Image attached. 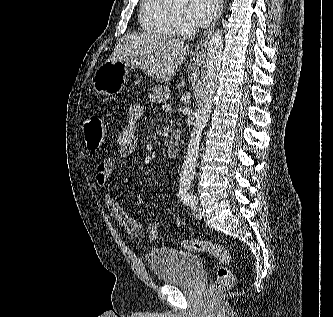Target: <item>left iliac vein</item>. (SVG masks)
<instances>
[{
	"label": "left iliac vein",
	"instance_id": "obj_1",
	"mask_svg": "<svg viewBox=\"0 0 333 317\" xmlns=\"http://www.w3.org/2000/svg\"><path fill=\"white\" fill-rule=\"evenodd\" d=\"M191 212L196 219L202 218V210H201L198 200H195V202L191 206Z\"/></svg>",
	"mask_w": 333,
	"mask_h": 317
}]
</instances>
